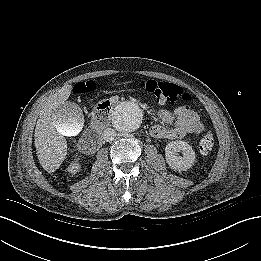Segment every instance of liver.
<instances>
[{
	"mask_svg": "<svg viewBox=\"0 0 261 261\" xmlns=\"http://www.w3.org/2000/svg\"><path fill=\"white\" fill-rule=\"evenodd\" d=\"M72 92L71 85H65L42 104L39 119L35 127V147L40 165L48 172H55L67 155V141L63 124L56 115L57 108L64 104ZM75 118L70 134H77L83 126L84 117L81 108L75 104Z\"/></svg>",
	"mask_w": 261,
	"mask_h": 261,
	"instance_id": "1",
	"label": "liver"
}]
</instances>
